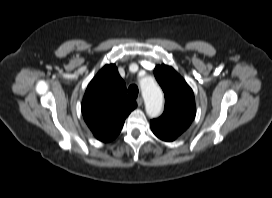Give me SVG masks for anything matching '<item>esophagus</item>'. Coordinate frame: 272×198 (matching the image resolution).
<instances>
[{
  "label": "esophagus",
  "instance_id": "obj_1",
  "mask_svg": "<svg viewBox=\"0 0 272 198\" xmlns=\"http://www.w3.org/2000/svg\"><path fill=\"white\" fill-rule=\"evenodd\" d=\"M136 102H137L138 106H142V104H143L142 97H138L137 100H136Z\"/></svg>",
  "mask_w": 272,
  "mask_h": 198
}]
</instances>
